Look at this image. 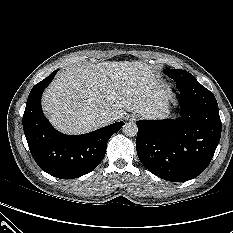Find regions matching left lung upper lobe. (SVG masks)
Segmentation results:
<instances>
[{
  "label": "left lung upper lobe",
  "instance_id": "5c2ea615",
  "mask_svg": "<svg viewBox=\"0 0 233 233\" xmlns=\"http://www.w3.org/2000/svg\"><path fill=\"white\" fill-rule=\"evenodd\" d=\"M163 72L176 83L196 80L189 72L181 69H164Z\"/></svg>",
  "mask_w": 233,
  "mask_h": 233
}]
</instances>
